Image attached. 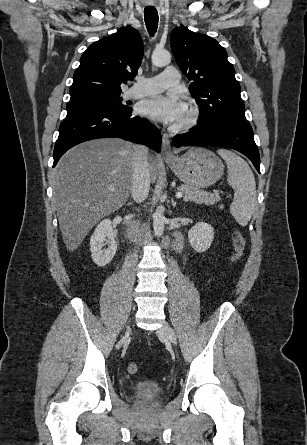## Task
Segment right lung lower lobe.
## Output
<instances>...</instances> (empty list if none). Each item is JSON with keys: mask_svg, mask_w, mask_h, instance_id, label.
<instances>
[{"mask_svg": "<svg viewBox=\"0 0 307 445\" xmlns=\"http://www.w3.org/2000/svg\"><path fill=\"white\" fill-rule=\"evenodd\" d=\"M131 111L114 107H83L67 111L59 128L53 167L68 149L96 138L119 137L160 152L159 130L147 119L131 117Z\"/></svg>", "mask_w": 307, "mask_h": 445, "instance_id": "right-lung-lower-lobe-1", "label": "right lung lower lobe"}]
</instances>
